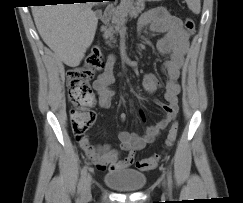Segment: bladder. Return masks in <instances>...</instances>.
Masks as SVG:
<instances>
[{
	"instance_id": "1",
	"label": "bladder",
	"mask_w": 243,
	"mask_h": 203,
	"mask_svg": "<svg viewBox=\"0 0 243 203\" xmlns=\"http://www.w3.org/2000/svg\"><path fill=\"white\" fill-rule=\"evenodd\" d=\"M103 181L117 191L133 192L145 185L146 175L135 169L120 168L106 173Z\"/></svg>"
}]
</instances>
